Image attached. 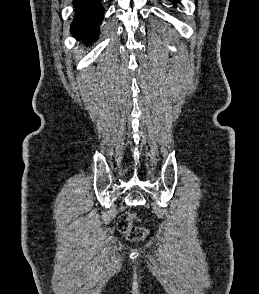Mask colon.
I'll return each instance as SVG.
<instances>
[{"mask_svg": "<svg viewBox=\"0 0 259 294\" xmlns=\"http://www.w3.org/2000/svg\"><path fill=\"white\" fill-rule=\"evenodd\" d=\"M133 215L125 214L118 221V229L130 240L138 241L145 238L148 231L145 227L132 223Z\"/></svg>", "mask_w": 259, "mask_h": 294, "instance_id": "colon-1", "label": "colon"}]
</instances>
